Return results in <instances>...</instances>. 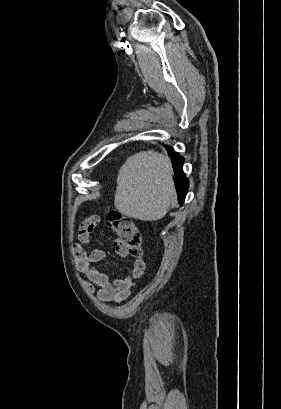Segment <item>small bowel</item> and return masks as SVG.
<instances>
[{
	"label": "small bowel",
	"mask_w": 281,
	"mask_h": 409,
	"mask_svg": "<svg viewBox=\"0 0 281 409\" xmlns=\"http://www.w3.org/2000/svg\"><path fill=\"white\" fill-rule=\"evenodd\" d=\"M87 222H80L79 225V238L82 243H88L90 241V235H98L99 229L95 224H101L103 218L101 215H88ZM113 251L119 252L121 255H125L126 251L123 244L118 240L113 244ZM73 253L75 263L78 269L86 271L88 281L86 285L94 290L95 286H98L97 297L103 302H122L129 295L131 288L138 277L144 273L146 265L141 259H137L134 263L133 271L123 278L110 279L105 273L101 272L95 267V264L102 261L105 257V253L100 248H95L91 251H87L82 245L75 244L73 246Z\"/></svg>",
	"instance_id": "small-bowel-1"
}]
</instances>
